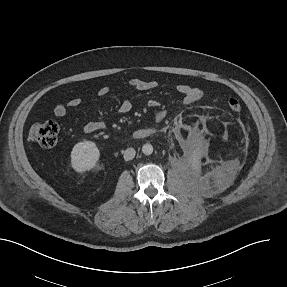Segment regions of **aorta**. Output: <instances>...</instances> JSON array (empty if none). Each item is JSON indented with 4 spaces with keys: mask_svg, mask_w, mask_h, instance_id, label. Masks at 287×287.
Wrapping results in <instances>:
<instances>
[{
    "mask_svg": "<svg viewBox=\"0 0 287 287\" xmlns=\"http://www.w3.org/2000/svg\"><path fill=\"white\" fill-rule=\"evenodd\" d=\"M142 152L145 154V155H150L153 153V146L151 144H144L143 147H142Z\"/></svg>",
    "mask_w": 287,
    "mask_h": 287,
    "instance_id": "762f6f07",
    "label": "aorta"
}]
</instances>
